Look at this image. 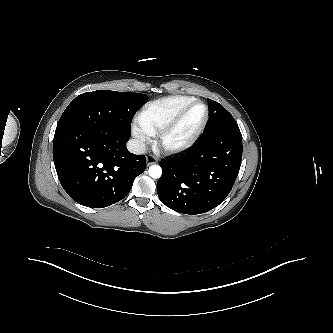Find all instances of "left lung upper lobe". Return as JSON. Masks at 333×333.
Here are the masks:
<instances>
[{
    "label": "left lung upper lobe",
    "mask_w": 333,
    "mask_h": 333,
    "mask_svg": "<svg viewBox=\"0 0 333 333\" xmlns=\"http://www.w3.org/2000/svg\"><path fill=\"white\" fill-rule=\"evenodd\" d=\"M209 105V119L204 133H212L221 130L238 131L239 127L232 115L219 103L207 99Z\"/></svg>",
    "instance_id": "obj_1"
}]
</instances>
